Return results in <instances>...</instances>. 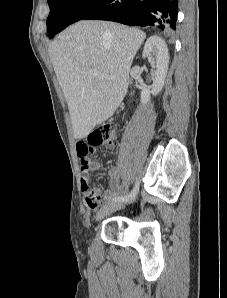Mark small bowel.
<instances>
[{"instance_id":"c3829d8e","label":"small bowel","mask_w":227,"mask_h":298,"mask_svg":"<svg viewBox=\"0 0 227 298\" xmlns=\"http://www.w3.org/2000/svg\"><path fill=\"white\" fill-rule=\"evenodd\" d=\"M75 146L77 147L78 158H80V161H81L82 190L84 191V193L86 195L84 183H87L89 190L92 193H94L98 198L97 203L95 205H92V204L88 203L87 201H86V204L90 209H95L99 202L110 199L112 196H114L118 192V190L120 188L118 170L116 168H111L108 170L110 189L102 192L97 187H90L88 171L100 169V164L98 162H91L89 160L90 155H94V151L96 150V147L89 146V142H87L86 139H77Z\"/></svg>"}]
</instances>
